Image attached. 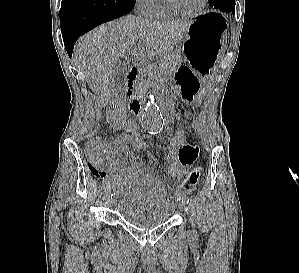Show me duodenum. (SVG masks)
<instances>
[{
	"label": "duodenum",
	"mask_w": 299,
	"mask_h": 273,
	"mask_svg": "<svg viewBox=\"0 0 299 273\" xmlns=\"http://www.w3.org/2000/svg\"><path fill=\"white\" fill-rule=\"evenodd\" d=\"M138 71V67L133 66L130 68L127 75L126 99L128 101L129 110L133 114H138L143 105V102L136 96L135 93V83L138 77Z\"/></svg>",
	"instance_id": "obj_1"
}]
</instances>
